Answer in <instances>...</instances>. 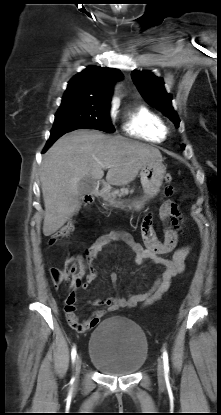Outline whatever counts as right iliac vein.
Listing matches in <instances>:
<instances>
[{
  "mask_svg": "<svg viewBox=\"0 0 221 415\" xmlns=\"http://www.w3.org/2000/svg\"><path fill=\"white\" fill-rule=\"evenodd\" d=\"M81 358L80 356H77L76 361H75V374L76 376H79L80 371H81Z\"/></svg>",
  "mask_w": 221,
  "mask_h": 415,
  "instance_id": "63e3f726",
  "label": "right iliac vein"
}]
</instances>
